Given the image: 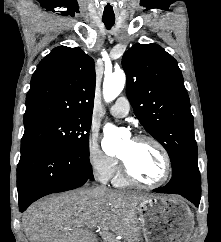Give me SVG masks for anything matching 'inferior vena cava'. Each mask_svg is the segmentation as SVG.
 Listing matches in <instances>:
<instances>
[{
	"mask_svg": "<svg viewBox=\"0 0 221 242\" xmlns=\"http://www.w3.org/2000/svg\"><path fill=\"white\" fill-rule=\"evenodd\" d=\"M96 189H99V190H105V189H106V187H105V186H103V185H100V186H98V185H97Z\"/></svg>",
	"mask_w": 221,
	"mask_h": 242,
	"instance_id": "inferior-vena-cava-1",
	"label": "inferior vena cava"
}]
</instances>
